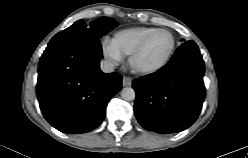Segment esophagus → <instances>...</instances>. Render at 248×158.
<instances>
[{
    "label": "esophagus",
    "instance_id": "1",
    "mask_svg": "<svg viewBox=\"0 0 248 158\" xmlns=\"http://www.w3.org/2000/svg\"><path fill=\"white\" fill-rule=\"evenodd\" d=\"M133 79L131 77L128 76H124L122 79V84L124 87H128L131 86Z\"/></svg>",
    "mask_w": 248,
    "mask_h": 158
}]
</instances>
